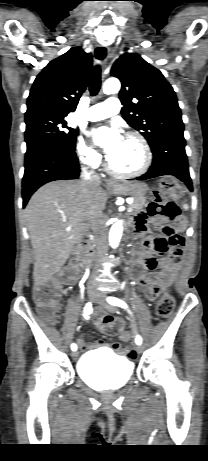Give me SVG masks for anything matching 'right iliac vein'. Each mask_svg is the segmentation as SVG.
I'll return each instance as SVG.
<instances>
[{
  "instance_id": "1",
  "label": "right iliac vein",
  "mask_w": 208,
  "mask_h": 461,
  "mask_svg": "<svg viewBox=\"0 0 208 461\" xmlns=\"http://www.w3.org/2000/svg\"><path fill=\"white\" fill-rule=\"evenodd\" d=\"M96 297H97L96 292H95L93 289H89V290H88V299H89V301H90V302H94V301L96 300ZM77 356H78V354H77L76 351H73V352L71 353V357H72L73 359H76Z\"/></svg>"
}]
</instances>
